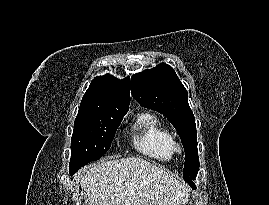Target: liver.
<instances>
[{
  "label": "liver",
  "instance_id": "obj_1",
  "mask_svg": "<svg viewBox=\"0 0 269 205\" xmlns=\"http://www.w3.org/2000/svg\"><path fill=\"white\" fill-rule=\"evenodd\" d=\"M89 205H180L188 189L146 160H104L80 176Z\"/></svg>",
  "mask_w": 269,
  "mask_h": 205
}]
</instances>
